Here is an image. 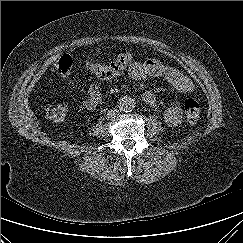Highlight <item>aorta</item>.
<instances>
[{"label":"aorta","instance_id":"762f6f07","mask_svg":"<svg viewBox=\"0 0 243 243\" xmlns=\"http://www.w3.org/2000/svg\"><path fill=\"white\" fill-rule=\"evenodd\" d=\"M118 106L123 112H131L135 107V102L133 98L124 96L119 99Z\"/></svg>","mask_w":243,"mask_h":243}]
</instances>
